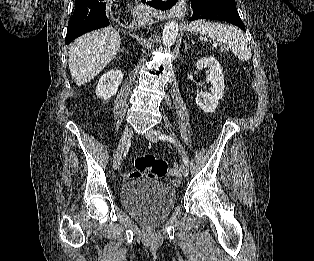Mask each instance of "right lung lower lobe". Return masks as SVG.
I'll return each mask as SVG.
<instances>
[{"mask_svg": "<svg viewBox=\"0 0 314 261\" xmlns=\"http://www.w3.org/2000/svg\"><path fill=\"white\" fill-rule=\"evenodd\" d=\"M134 2H127L123 7L129 15L128 19ZM106 3V0H75V10L68 25L65 43L69 44L82 34L108 26Z\"/></svg>", "mask_w": 314, "mask_h": 261, "instance_id": "98d812e1", "label": "right lung lower lobe"}]
</instances>
